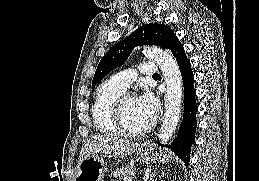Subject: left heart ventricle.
<instances>
[{
    "mask_svg": "<svg viewBox=\"0 0 259 181\" xmlns=\"http://www.w3.org/2000/svg\"><path fill=\"white\" fill-rule=\"evenodd\" d=\"M124 115L127 125L132 128L144 127L152 121L141 112L135 97L125 102Z\"/></svg>",
    "mask_w": 259,
    "mask_h": 181,
    "instance_id": "1",
    "label": "left heart ventricle"
}]
</instances>
